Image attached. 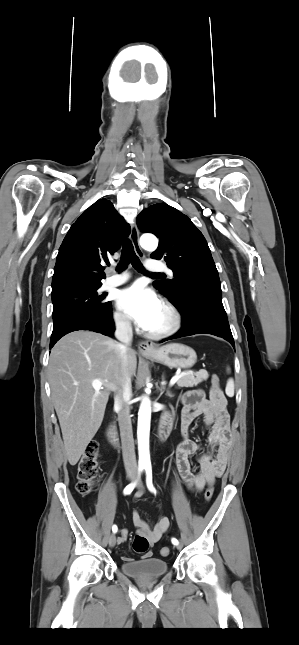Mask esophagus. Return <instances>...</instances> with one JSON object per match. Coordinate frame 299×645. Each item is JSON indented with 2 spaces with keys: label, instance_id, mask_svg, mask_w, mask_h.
<instances>
[{
  "label": "esophagus",
  "instance_id": "34e87169",
  "mask_svg": "<svg viewBox=\"0 0 299 645\" xmlns=\"http://www.w3.org/2000/svg\"><path fill=\"white\" fill-rule=\"evenodd\" d=\"M130 240L134 246L136 253L139 256L143 255V251L139 244V231L135 224L131 226ZM138 350L142 355H149L156 352V347L150 341H142L138 345Z\"/></svg>",
  "mask_w": 299,
  "mask_h": 645
}]
</instances>
